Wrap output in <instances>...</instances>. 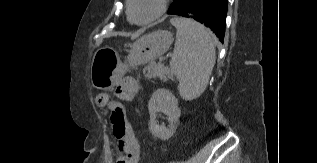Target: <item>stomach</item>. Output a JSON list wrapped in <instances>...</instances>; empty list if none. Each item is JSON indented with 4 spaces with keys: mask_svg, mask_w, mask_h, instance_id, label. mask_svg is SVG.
<instances>
[{
    "mask_svg": "<svg viewBox=\"0 0 317 163\" xmlns=\"http://www.w3.org/2000/svg\"><path fill=\"white\" fill-rule=\"evenodd\" d=\"M172 42V34L166 30L144 35L131 46L127 62L121 61L115 50L100 48L91 63L92 85L101 90L111 89L129 67L155 60L169 49Z\"/></svg>",
    "mask_w": 317,
    "mask_h": 163,
    "instance_id": "0dacf381",
    "label": "stomach"
}]
</instances>
